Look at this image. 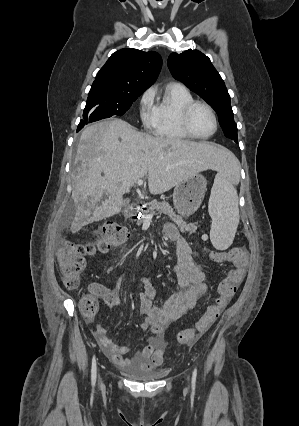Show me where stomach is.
Here are the masks:
<instances>
[{"mask_svg": "<svg viewBox=\"0 0 299 426\" xmlns=\"http://www.w3.org/2000/svg\"><path fill=\"white\" fill-rule=\"evenodd\" d=\"M207 190L206 179L199 174L176 185L173 192V203L176 211L189 217L200 207Z\"/></svg>", "mask_w": 299, "mask_h": 426, "instance_id": "0dacf381", "label": "stomach"}]
</instances>
